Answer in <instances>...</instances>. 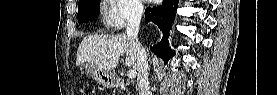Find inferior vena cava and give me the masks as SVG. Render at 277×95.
<instances>
[{
	"label": "inferior vena cava",
	"mask_w": 277,
	"mask_h": 95,
	"mask_svg": "<svg viewBox=\"0 0 277 95\" xmlns=\"http://www.w3.org/2000/svg\"><path fill=\"white\" fill-rule=\"evenodd\" d=\"M144 12L142 4H135L128 19L126 28L127 37L132 41L136 51V70H137V85L139 95H149V81H148V61L145 48L139 42L138 32L141 18Z\"/></svg>",
	"instance_id": "602c4592"
}]
</instances>
